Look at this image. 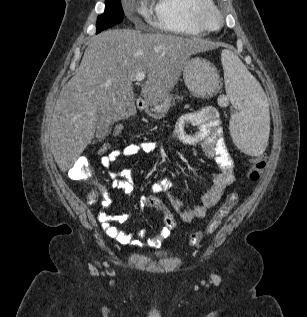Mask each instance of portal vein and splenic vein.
<instances>
[{
	"mask_svg": "<svg viewBox=\"0 0 307 317\" xmlns=\"http://www.w3.org/2000/svg\"><path fill=\"white\" fill-rule=\"evenodd\" d=\"M145 79V73L144 72H139L135 75L134 80L137 82H141Z\"/></svg>",
	"mask_w": 307,
	"mask_h": 317,
	"instance_id": "18ae733b",
	"label": "portal vein and splenic vein"
}]
</instances>
